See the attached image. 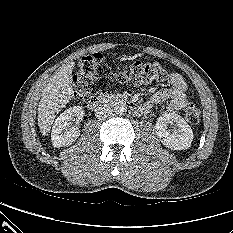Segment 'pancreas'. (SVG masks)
Returning <instances> with one entry per match:
<instances>
[{
  "mask_svg": "<svg viewBox=\"0 0 233 233\" xmlns=\"http://www.w3.org/2000/svg\"><path fill=\"white\" fill-rule=\"evenodd\" d=\"M101 97H107V98H110V97H113V95L108 94V93H104V94H101Z\"/></svg>",
  "mask_w": 233,
  "mask_h": 233,
  "instance_id": "1",
  "label": "pancreas"
}]
</instances>
